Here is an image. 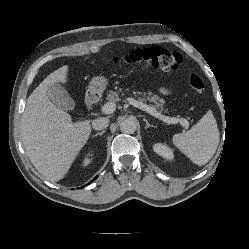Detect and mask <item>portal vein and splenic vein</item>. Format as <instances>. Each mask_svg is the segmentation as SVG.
Here are the masks:
<instances>
[{"mask_svg":"<svg viewBox=\"0 0 249 249\" xmlns=\"http://www.w3.org/2000/svg\"><path fill=\"white\" fill-rule=\"evenodd\" d=\"M127 101L129 104L133 105L134 107H137L139 109H142L144 111H146L147 113H149L150 115L158 118L159 120H162L163 122L167 123V124H177L180 123L183 125V127L185 129L188 128L189 123L187 120L185 119H179V118H174V117H169V116H165L163 114H161L160 112L156 111L153 107L144 104L140 101H137L133 98H127ZM116 109V103L115 102H108L106 104H104L101 108L102 112L105 114H111L115 111Z\"/></svg>","mask_w":249,"mask_h":249,"instance_id":"obj_1","label":"portal vein and splenic vein"}]
</instances>
